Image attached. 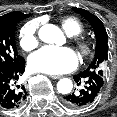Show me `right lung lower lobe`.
<instances>
[{"mask_svg": "<svg viewBox=\"0 0 117 117\" xmlns=\"http://www.w3.org/2000/svg\"><path fill=\"white\" fill-rule=\"evenodd\" d=\"M24 67V59L11 65L0 64V109H15L24 102L25 87L16 84L24 73Z\"/></svg>", "mask_w": 117, "mask_h": 117, "instance_id": "98d812e1", "label": "right lung lower lobe"}]
</instances>
